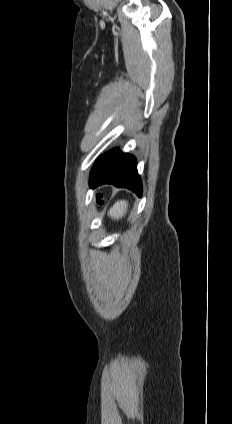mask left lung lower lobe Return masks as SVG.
<instances>
[{
  "label": "left lung lower lobe",
  "instance_id": "left-lung-lower-lobe-1",
  "mask_svg": "<svg viewBox=\"0 0 232 424\" xmlns=\"http://www.w3.org/2000/svg\"><path fill=\"white\" fill-rule=\"evenodd\" d=\"M105 183L126 187L141 196L142 184L137 173L136 159L118 149L100 156L91 170L90 187L94 188Z\"/></svg>",
  "mask_w": 232,
  "mask_h": 424
}]
</instances>
